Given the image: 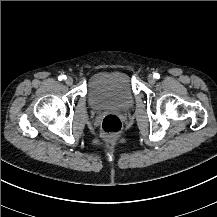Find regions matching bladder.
Returning a JSON list of instances; mask_svg holds the SVG:
<instances>
[{"label":"bladder","instance_id":"1","mask_svg":"<svg viewBox=\"0 0 217 217\" xmlns=\"http://www.w3.org/2000/svg\"><path fill=\"white\" fill-rule=\"evenodd\" d=\"M87 93L93 105L103 108H126L133 100L127 77L119 73L97 75Z\"/></svg>","mask_w":217,"mask_h":217}]
</instances>
